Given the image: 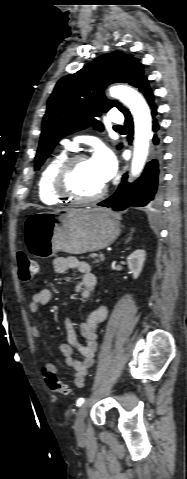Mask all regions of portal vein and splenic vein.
Masks as SVG:
<instances>
[{"label": "portal vein and splenic vein", "mask_w": 187, "mask_h": 479, "mask_svg": "<svg viewBox=\"0 0 187 479\" xmlns=\"http://www.w3.org/2000/svg\"><path fill=\"white\" fill-rule=\"evenodd\" d=\"M100 257H102V258L104 259V254H103V253H101V254H100Z\"/></svg>", "instance_id": "18ae733b"}]
</instances>
